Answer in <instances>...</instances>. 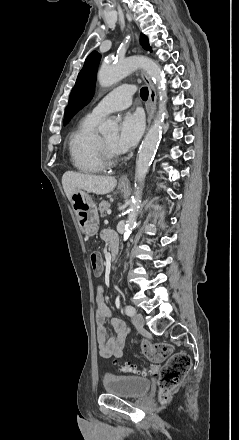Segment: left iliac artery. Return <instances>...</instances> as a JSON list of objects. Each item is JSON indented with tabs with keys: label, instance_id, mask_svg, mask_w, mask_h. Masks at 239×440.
<instances>
[{
	"label": "left iliac artery",
	"instance_id": "left-iliac-artery-1",
	"mask_svg": "<svg viewBox=\"0 0 239 440\" xmlns=\"http://www.w3.org/2000/svg\"><path fill=\"white\" fill-rule=\"evenodd\" d=\"M125 312L128 316H133L136 313V310L133 306L127 305L125 307Z\"/></svg>",
	"mask_w": 239,
	"mask_h": 440
}]
</instances>
